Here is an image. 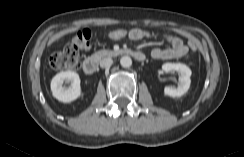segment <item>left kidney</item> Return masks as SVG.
I'll list each match as a JSON object with an SVG mask.
<instances>
[{
    "instance_id": "obj_1",
    "label": "left kidney",
    "mask_w": 244,
    "mask_h": 157,
    "mask_svg": "<svg viewBox=\"0 0 244 157\" xmlns=\"http://www.w3.org/2000/svg\"><path fill=\"white\" fill-rule=\"evenodd\" d=\"M164 72L177 71L180 73L179 84L177 88L165 87L164 95L170 97H181L184 95L190 88L191 84V70L188 66L182 63H165L162 66Z\"/></svg>"
}]
</instances>
